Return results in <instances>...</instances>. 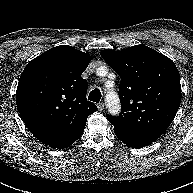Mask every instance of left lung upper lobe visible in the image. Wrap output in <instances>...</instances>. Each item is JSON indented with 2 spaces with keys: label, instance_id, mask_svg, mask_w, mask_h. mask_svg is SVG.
Returning a JSON list of instances; mask_svg holds the SVG:
<instances>
[{
  "label": "left lung upper lobe",
  "instance_id": "left-lung-upper-lobe-1",
  "mask_svg": "<svg viewBox=\"0 0 193 193\" xmlns=\"http://www.w3.org/2000/svg\"><path fill=\"white\" fill-rule=\"evenodd\" d=\"M101 56L121 77V113L116 117L108 115L109 122L125 132L163 134L182 96L174 62L145 45L123 51L105 49Z\"/></svg>",
  "mask_w": 193,
  "mask_h": 193
}]
</instances>
